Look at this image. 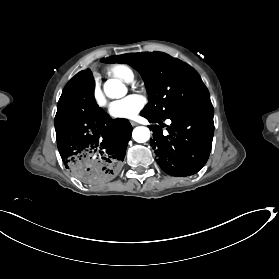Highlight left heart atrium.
Instances as JSON below:
<instances>
[{
    "label": "left heart atrium",
    "instance_id": "1",
    "mask_svg": "<svg viewBox=\"0 0 279 279\" xmlns=\"http://www.w3.org/2000/svg\"><path fill=\"white\" fill-rule=\"evenodd\" d=\"M145 100L140 95H129L122 100L112 103L109 114L115 119H134L144 108Z\"/></svg>",
    "mask_w": 279,
    "mask_h": 279
}]
</instances>
